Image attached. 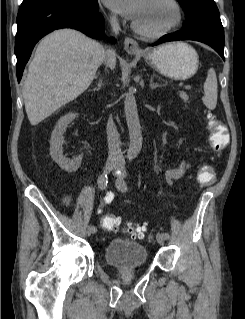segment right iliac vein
Instances as JSON below:
<instances>
[{
	"mask_svg": "<svg viewBox=\"0 0 245 319\" xmlns=\"http://www.w3.org/2000/svg\"><path fill=\"white\" fill-rule=\"evenodd\" d=\"M118 169V165L114 162H107L105 167H104V173H109L111 171H116ZM92 229L91 227L87 228L86 234L87 236H90L92 234Z\"/></svg>",
	"mask_w": 245,
	"mask_h": 319,
	"instance_id": "63e3f726",
	"label": "right iliac vein"
}]
</instances>
